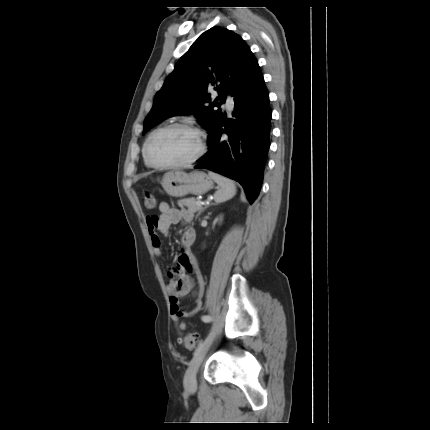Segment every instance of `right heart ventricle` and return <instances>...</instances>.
Returning <instances> with one entry per match:
<instances>
[{
  "label": "right heart ventricle",
  "instance_id": "e07e8e85",
  "mask_svg": "<svg viewBox=\"0 0 430 430\" xmlns=\"http://www.w3.org/2000/svg\"><path fill=\"white\" fill-rule=\"evenodd\" d=\"M150 136V135H149ZM148 136V137H149ZM145 145V144H144ZM143 157H144V163H145V165L147 166V167H152L148 162H147V160H146V158H145V155H144V148H143Z\"/></svg>",
  "mask_w": 430,
  "mask_h": 430
}]
</instances>
